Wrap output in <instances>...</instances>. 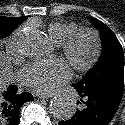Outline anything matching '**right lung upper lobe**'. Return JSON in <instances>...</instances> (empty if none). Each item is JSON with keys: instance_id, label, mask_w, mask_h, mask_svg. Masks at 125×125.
<instances>
[{"instance_id": "1", "label": "right lung upper lobe", "mask_w": 125, "mask_h": 125, "mask_svg": "<svg viewBox=\"0 0 125 125\" xmlns=\"http://www.w3.org/2000/svg\"><path fill=\"white\" fill-rule=\"evenodd\" d=\"M15 18H18V19H20V20H25L27 17L26 16H23V17H15Z\"/></svg>"}]
</instances>
